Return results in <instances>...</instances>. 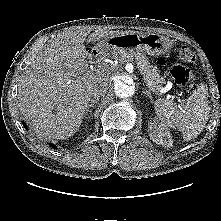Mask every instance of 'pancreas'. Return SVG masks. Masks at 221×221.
Instances as JSON below:
<instances>
[{"label":"pancreas","mask_w":221,"mask_h":221,"mask_svg":"<svg viewBox=\"0 0 221 221\" xmlns=\"http://www.w3.org/2000/svg\"><path fill=\"white\" fill-rule=\"evenodd\" d=\"M114 58L119 60L122 64L128 62L136 63L138 70L143 76L145 84L154 92H159L160 88H162L161 85L165 83V79L161 77L158 70L149 63L146 55L116 52Z\"/></svg>","instance_id":"obj_1"}]
</instances>
